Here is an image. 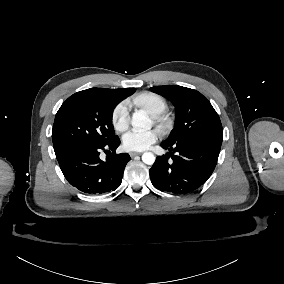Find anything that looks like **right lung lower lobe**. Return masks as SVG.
Instances as JSON below:
<instances>
[{"label": "right lung lower lobe", "mask_w": 284, "mask_h": 284, "mask_svg": "<svg viewBox=\"0 0 284 284\" xmlns=\"http://www.w3.org/2000/svg\"><path fill=\"white\" fill-rule=\"evenodd\" d=\"M118 136L105 144H79L57 152L56 158L67 181L86 194H103L116 190L121 184L124 168L131 159L127 153L116 154ZM111 150L106 161L100 151Z\"/></svg>", "instance_id": "obj_1"}]
</instances>
